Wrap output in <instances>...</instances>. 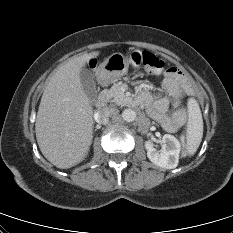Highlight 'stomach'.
I'll use <instances>...</instances> for the list:
<instances>
[{"instance_id": "1", "label": "stomach", "mask_w": 233, "mask_h": 233, "mask_svg": "<svg viewBox=\"0 0 233 233\" xmlns=\"http://www.w3.org/2000/svg\"><path fill=\"white\" fill-rule=\"evenodd\" d=\"M142 57L143 53L140 50H132L127 56L121 53H113L100 65L98 77L103 82H111L124 76L130 65L139 68Z\"/></svg>"}]
</instances>
